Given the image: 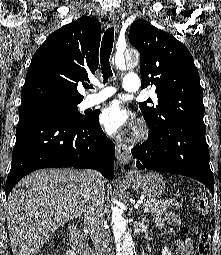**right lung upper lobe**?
<instances>
[{"instance_id": "obj_1", "label": "right lung upper lobe", "mask_w": 221, "mask_h": 255, "mask_svg": "<svg viewBox=\"0 0 221 255\" xmlns=\"http://www.w3.org/2000/svg\"><path fill=\"white\" fill-rule=\"evenodd\" d=\"M100 39V22L88 16L49 35L32 57L20 110L45 103L81 102L77 86L89 81L98 68Z\"/></svg>"}]
</instances>
